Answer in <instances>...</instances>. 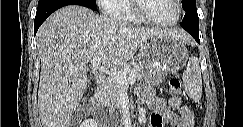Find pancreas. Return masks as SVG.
Listing matches in <instances>:
<instances>
[{
    "mask_svg": "<svg viewBox=\"0 0 243 127\" xmlns=\"http://www.w3.org/2000/svg\"><path fill=\"white\" fill-rule=\"evenodd\" d=\"M119 71L125 73L126 77H129V73L133 71L135 72L138 80H143L147 76V72L143 70L136 62L126 64L125 66L121 67ZM124 87L125 85H121L110 78L104 85V88L99 96L101 103L112 110L120 109V95Z\"/></svg>",
    "mask_w": 243,
    "mask_h": 127,
    "instance_id": "cf45deb5",
    "label": "pancreas"
}]
</instances>
